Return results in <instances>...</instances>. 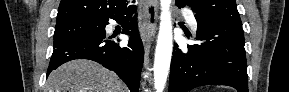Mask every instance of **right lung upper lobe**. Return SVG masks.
I'll return each instance as SVG.
<instances>
[{
    "instance_id": "cb5924a9",
    "label": "right lung upper lobe",
    "mask_w": 289,
    "mask_h": 92,
    "mask_svg": "<svg viewBox=\"0 0 289 92\" xmlns=\"http://www.w3.org/2000/svg\"><path fill=\"white\" fill-rule=\"evenodd\" d=\"M127 0H61L56 23L104 21L126 12Z\"/></svg>"
}]
</instances>
